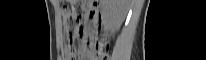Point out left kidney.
Here are the masks:
<instances>
[{
	"label": "left kidney",
	"mask_w": 206,
	"mask_h": 60,
	"mask_svg": "<svg viewBox=\"0 0 206 60\" xmlns=\"http://www.w3.org/2000/svg\"><path fill=\"white\" fill-rule=\"evenodd\" d=\"M102 23L105 30L120 27L128 12V0H102Z\"/></svg>",
	"instance_id": "left-kidney-1"
}]
</instances>
